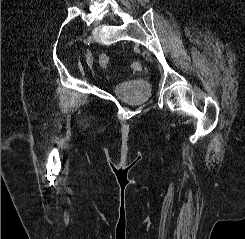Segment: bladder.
<instances>
[{
  "mask_svg": "<svg viewBox=\"0 0 245 239\" xmlns=\"http://www.w3.org/2000/svg\"><path fill=\"white\" fill-rule=\"evenodd\" d=\"M114 96L133 105L148 103L151 97L152 86L138 79L120 81L111 86Z\"/></svg>",
  "mask_w": 245,
  "mask_h": 239,
  "instance_id": "31cf9c89",
  "label": "bladder"
}]
</instances>
